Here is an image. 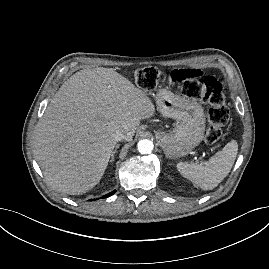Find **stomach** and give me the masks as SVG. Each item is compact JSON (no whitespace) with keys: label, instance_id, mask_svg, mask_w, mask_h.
<instances>
[{"label":"stomach","instance_id":"stomach-1","mask_svg":"<svg viewBox=\"0 0 269 269\" xmlns=\"http://www.w3.org/2000/svg\"><path fill=\"white\" fill-rule=\"evenodd\" d=\"M158 111L176 120L171 133L157 131L156 139L167 158L189 154L204 139L205 114L202 106L191 99L160 89L156 95Z\"/></svg>","mask_w":269,"mask_h":269}]
</instances>
